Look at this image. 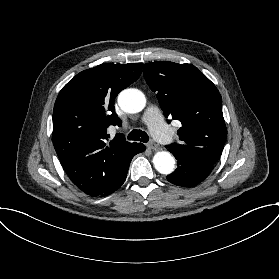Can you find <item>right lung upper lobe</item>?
Wrapping results in <instances>:
<instances>
[{"label": "right lung upper lobe", "mask_w": 279, "mask_h": 279, "mask_svg": "<svg viewBox=\"0 0 279 279\" xmlns=\"http://www.w3.org/2000/svg\"><path fill=\"white\" fill-rule=\"evenodd\" d=\"M142 63H106L77 74L60 91L53 110V144L71 181L90 196H103L145 146L118 133L109 146V125L118 93L135 82ZM110 114V115H108Z\"/></svg>", "instance_id": "cb5924a9"}]
</instances>
